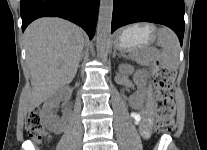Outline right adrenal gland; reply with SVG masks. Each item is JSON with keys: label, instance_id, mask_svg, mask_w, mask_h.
Wrapping results in <instances>:
<instances>
[{"label": "right adrenal gland", "instance_id": "obj_1", "mask_svg": "<svg viewBox=\"0 0 207 150\" xmlns=\"http://www.w3.org/2000/svg\"><path fill=\"white\" fill-rule=\"evenodd\" d=\"M84 54H85V50H84V51L82 52V54H81L80 61H82V58H83Z\"/></svg>", "mask_w": 207, "mask_h": 150}]
</instances>
